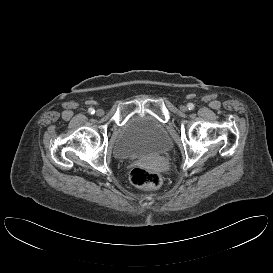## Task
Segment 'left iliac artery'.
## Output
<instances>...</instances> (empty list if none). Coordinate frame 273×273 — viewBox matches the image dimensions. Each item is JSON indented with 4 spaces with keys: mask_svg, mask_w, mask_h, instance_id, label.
<instances>
[{
    "mask_svg": "<svg viewBox=\"0 0 273 273\" xmlns=\"http://www.w3.org/2000/svg\"><path fill=\"white\" fill-rule=\"evenodd\" d=\"M187 107H188L189 110H192V109H194V104L193 103H188Z\"/></svg>",
    "mask_w": 273,
    "mask_h": 273,
    "instance_id": "1",
    "label": "left iliac artery"
}]
</instances>
